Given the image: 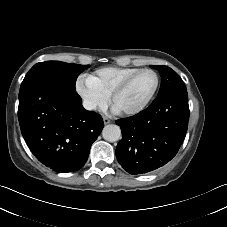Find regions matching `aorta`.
Wrapping results in <instances>:
<instances>
[{
  "label": "aorta",
  "mask_w": 227,
  "mask_h": 227,
  "mask_svg": "<svg viewBox=\"0 0 227 227\" xmlns=\"http://www.w3.org/2000/svg\"><path fill=\"white\" fill-rule=\"evenodd\" d=\"M103 138L108 142L118 141L121 137V130L118 125L109 124L103 128Z\"/></svg>",
  "instance_id": "1"
}]
</instances>
